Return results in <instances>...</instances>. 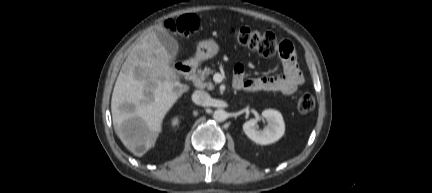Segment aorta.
Listing matches in <instances>:
<instances>
[{"instance_id": "1", "label": "aorta", "mask_w": 432, "mask_h": 193, "mask_svg": "<svg viewBox=\"0 0 432 193\" xmlns=\"http://www.w3.org/2000/svg\"><path fill=\"white\" fill-rule=\"evenodd\" d=\"M213 118L218 122H223L227 119V112L223 109H217L213 113Z\"/></svg>"}]
</instances>
